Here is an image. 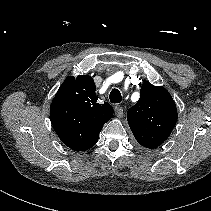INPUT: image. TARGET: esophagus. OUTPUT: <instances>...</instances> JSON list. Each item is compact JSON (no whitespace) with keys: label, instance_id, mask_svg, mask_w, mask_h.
Instances as JSON below:
<instances>
[{"label":"esophagus","instance_id":"obj_1","mask_svg":"<svg viewBox=\"0 0 211 211\" xmlns=\"http://www.w3.org/2000/svg\"><path fill=\"white\" fill-rule=\"evenodd\" d=\"M114 111H115V115H116L117 117H122L123 114H124V110H123V108H122L120 105H116V106L114 107Z\"/></svg>","mask_w":211,"mask_h":211}]
</instances>
